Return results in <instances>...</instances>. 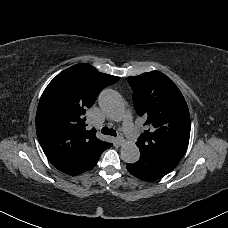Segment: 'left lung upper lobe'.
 Returning a JSON list of instances; mask_svg holds the SVG:
<instances>
[{"label": "left lung upper lobe", "instance_id": "obj_1", "mask_svg": "<svg viewBox=\"0 0 228 228\" xmlns=\"http://www.w3.org/2000/svg\"><path fill=\"white\" fill-rule=\"evenodd\" d=\"M134 107L144 116L148 130L136 144L140 152H150L179 163L190 137V115L186 101L171 79L159 71L128 77Z\"/></svg>", "mask_w": 228, "mask_h": 228}]
</instances>
